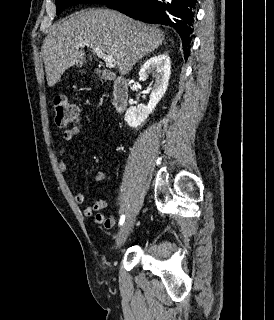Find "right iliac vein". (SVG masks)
Masks as SVG:
<instances>
[{
	"label": "right iliac vein",
	"instance_id": "obj_1",
	"mask_svg": "<svg viewBox=\"0 0 274 320\" xmlns=\"http://www.w3.org/2000/svg\"><path fill=\"white\" fill-rule=\"evenodd\" d=\"M135 222V215L134 214H129L126 221L122 225L117 239H116V248L120 249L125 240L127 239L128 235L130 234V231L133 228Z\"/></svg>",
	"mask_w": 274,
	"mask_h": 320
}]
</instances>
